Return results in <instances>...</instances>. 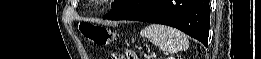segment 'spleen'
Masks as SVG:
<instances>
[{
  "label": "spleen",
  "instance_id": "obj_1",
  "mask_svg": "<svg viewBox=\"0 0 261 59\" xmlns=\"http://www.w3.org/2000/svg\"><path fill=\"white\" fill-rule=\"evenodd\" d=\"M141 36L147 38L161 50L176 53L189 47L187 36L179 30L160 24H150L141 30Z\"/></svg>",
  "mask_w": 261,
  "mask_h": 59
}]
</instances>
